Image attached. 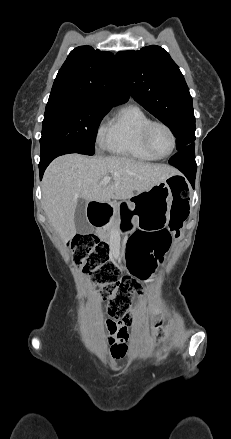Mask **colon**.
Returning a JSON list of instances; mask_svg holds the SVG:
<instances>
[{"instance_id":"colon-1","label":"colon","mask_w":231,"mask_h":439,"mask_svg":"<svg viewBox=\"0 0 231 439\" xmlns=\"http://www.w3.org/2000/svg\"><path fill=\"white\" fill-rule=\"evenodd\" d=\"M170 187L175 199L169 227L178 232L189 214L190 188L182 179L171 180ZM143 239V235L140 234L130 239L136 253ZM69 246L74 252L75 265L82 268L84 273L101 287V296L108 300L109 314L125 324H130L129 308L132 297L142 294L139 280L150 276L146 267L141 263L132 265L134 276H123L110 256L108 244L93 234L77 235Z\"/></svg>"}]
</instances>
